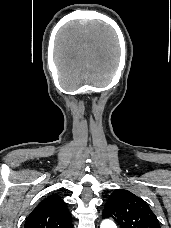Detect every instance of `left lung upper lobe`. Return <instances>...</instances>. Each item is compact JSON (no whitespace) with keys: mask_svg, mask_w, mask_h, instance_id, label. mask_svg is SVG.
<instances>
[{"mask_svg":"<svg viewBox=\"0 0 171 228\" xmlns=\"http://www.w3.org/2000/svg\"><path fill=\"white\" fill-rule=\"evenodd\" d=\"M103 218H113L121 228H160L156 215L138 196L128 190H115L102 214Z\"/></svg>","mask_w":171,"mask_h":228,"instance_id":"obj_1","label":"left lung upper lobe"}]
</instances>
